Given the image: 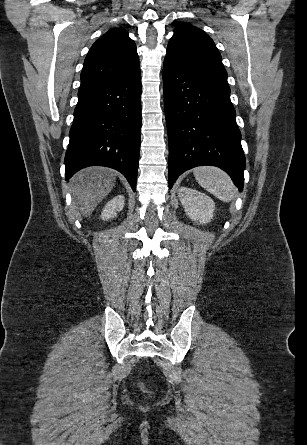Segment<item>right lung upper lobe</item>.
Instances as JSON below:
<instances>
[{
    "instance_id": "1",
    "label": "right lung upper lobe",
    "mask_w": 307,
    "mask_h": 445,
    "mask_svg": "<svg viewBox=\"0 0 307 445\" xmlns=\"http://www.w3.org/2000/svg\"><path fill=\"white\" fill-rule=\"evenodd\" d=\"M139 67L134 41L122 28H113L100 37L89 50L81 73V86L122 77Z\"/></svg>"
}]
</instances>
